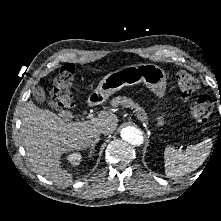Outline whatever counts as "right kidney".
Masks as SVG:
<instances>
[{
	"instance_id": "right-kidney-1",
	"label": "right kidney",
	"mask_w": 221,
	"mask_h": 221,
	"mask_svg": "<svg viewBox=\"0 0 221 221\" xmlns=\"http://www.w3.org/2000/svg\"><path fill=\"white\" fill-rule=\"evenodd\" d=\"M81 154L78 152L71 153L68 155L67 159L72 165H79L81 162Z\"/></svg>"
}]
</instances>
